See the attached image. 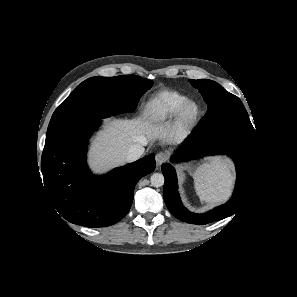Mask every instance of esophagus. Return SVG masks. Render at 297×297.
<instances>
[{"label": "esophagus", "instance_id": "obj_1", "mask_svg": "<svg viewBox=\"0 0 297 297\" xmlns=\"http://www.w3.org/2000/svg\"><path fill=\"white\" fill-rule=\"evenodd\" d=\"M167 155L166 153H163V152H159L156 154V157H155V160H156V164L158 166H160L161 164H163L164 162L167 161Z\"/></svg>", "mask_w": 297, "mask_h": 297}]
</instances>
